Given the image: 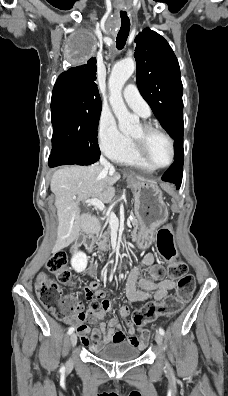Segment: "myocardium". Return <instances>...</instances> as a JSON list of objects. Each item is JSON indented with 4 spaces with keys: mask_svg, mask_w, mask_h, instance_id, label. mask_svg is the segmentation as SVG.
<instances>
[{
    "mask_svg": "<svg viewBox=\"0 0 228 396\" xmlns=\"http://www.w3.org/2000/svg\"><path fill=\"white\" fill-rule=\"evenodd\" d=\"M141 126L145 134L158 133L163 137H165L170 146L171 156L166 164L161 166L154 165L147 156L145 142L131 137L134 151L137 157L139 158V160L151 170H162L169 167L174 162L175 159V145L172 137L166 131L162 130L161 128L157 127L156 125L150 122H143Z\"/></svg>",
    "mask_w": 228,
    "mask_h": 396,
    "instance_id": "f54148a6",
    "label": "myocardium"
}]
</instances>
